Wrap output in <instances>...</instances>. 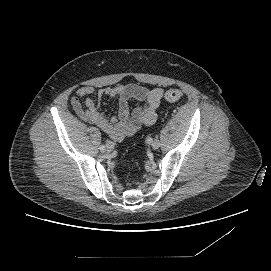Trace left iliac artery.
Masks as SVG:
<instances>
[{"instance_id":"1","label":"left iliac artery","mask_w":271,"mask_h":271,"mask_svg":"<svg viewBox=\"0 0 271 271\" xmlns=\"http://www.w3.org/2000/svg\"><path fill=\"white\" fill-rule=\"evenodd\" d=\"M146 142H147V144H152L153 139H152L151 137H148V138L146 139Z\"/></svg>"}]
</instances>
